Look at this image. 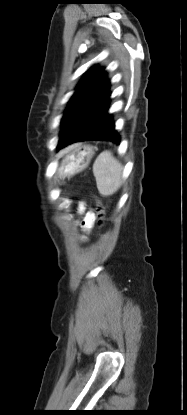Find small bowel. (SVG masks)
<instances>
[{
    "mask_svg": "<svg viewBox=\"0 0 187 415\" xmlns=\"http://www.w3.org/2000/svg\"><path fill=\"white\" fill-rule=\"evenodd\" d=\"M84 209H85V206L82 204L80 207V210L83 211ZM94 219H95V216L93 213L91 212L86 213V215L84 216L81 222L82 227L88 230L92 226ZM82 240L85 241L86 239L83 238Z\"/></svg>",
    "mask_w": 187,
    "mask_h": 415,
    "instance_id": "small-bowel-1",
    "label": "small bowel"
}]
</instances>
